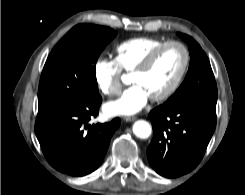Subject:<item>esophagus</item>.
I'll list each match as a JSON object with an SVG mask.
<instances>
[{"mask_svg": "<svg viewBox=\"0 0 245 195\" xmlns=\"http://www.w3.org/2000/svg\"><path fill=\"white\" fill-rule=\"evenodd\" d=\"M124 120L126 122H132V121L136 120V117L135 116H128V117H125Z\"/></svg>", "mask_w": 245, "mask_h": 195, "instance_id": "esophagus-1", "label": "esophagus"}]
</instances>
